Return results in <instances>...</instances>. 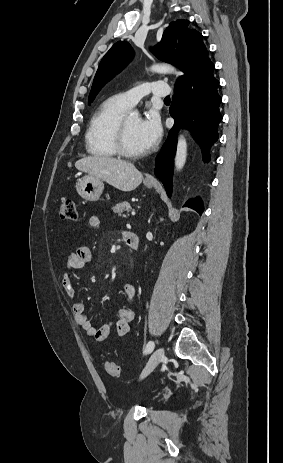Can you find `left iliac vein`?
<instances>
[{
	"instance_id": "left-iliac-vein-1",
	"label": "left iliac vein",
	"mask_w": 283,
	"mask_h": 463,
	"mask_svg": "<svg viewBox=\"0 0 283 463\" xmlns=\"http://www.w3.org/2000/svg\"><path fill=\"white\" fill-rule=\"evenodd\" d=\"M164 349L162 347L156 349L148 360L145 368L142 371L141 379L149 375L157 365L164 359Z\"/></svg>"
}]
</instances>
